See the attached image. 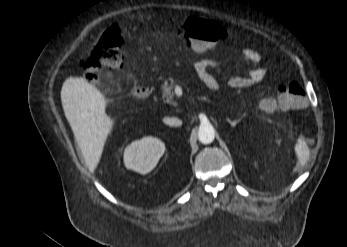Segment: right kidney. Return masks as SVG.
Segmentation results:
<instances>
[{"label": "right kidney", "mask_w": 347, "mask_h": 247, "mask_svg": "<svg viewBox=\"0 0 347 247\" xmlns=\"http://www.w3.org/2000/svg\"><path fill=\"white\" fill-rule=\"evenodd\" d=\"M165 151L164 143L158 138L144 137L132 142L124 152V163L127 169L140 174L152 171Z\"/></svg>", "instance_id": "ca27d5eb"}]
</instances>
